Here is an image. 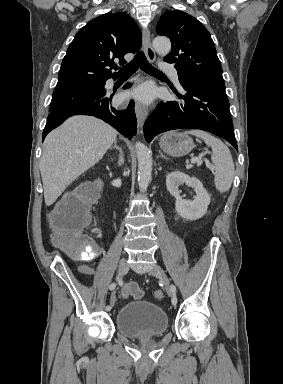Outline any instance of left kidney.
Listing matches in <instances>:
<instances>
[{"mask_svg": "<svg viewBox=\"0 0 283 384\" xmlns=\"http://www.w3.org/2000/svg\"><path fill=\"white\" fill-rule=\"evenodd\" d=\"M182 184L194 188L196 198L193 202L183 200L182 196H180L181 190H179L178 186H182ZM166 186L171 196L176 198L175 210L181 218H185V220H199V218L206 214L210 204V196L205 188H203L200 180L190 178V176L183 174V172H172L166 178Z\"/></svg>", "mask_w": 283, "mask_h": 384, "instance_id": "left-kidney-1", "label": "left kidney"}]
</instances>
